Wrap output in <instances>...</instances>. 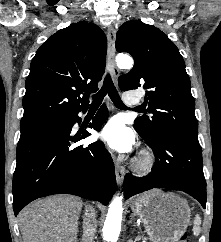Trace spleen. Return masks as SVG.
<instances>
[{
  "mask_svg": "<svg viewBox=\"0 0 221 242\" xmlns=\"http://www.w3.org/2000/svg\"><path fill=\"white\" fill-rule=\"evenodd\" d=\"M201 224V219L200 217L197 215L196 218L194 219V227H193V233L194 235H199V225Z\"/></svg>",
  "mask_w": 221,
  "mask_h": 242,
  "instance_id": "1",
  "label": "spleen"
}]
</instances>
